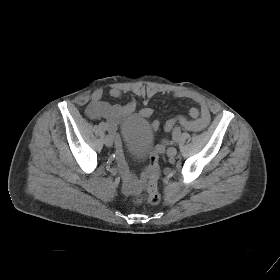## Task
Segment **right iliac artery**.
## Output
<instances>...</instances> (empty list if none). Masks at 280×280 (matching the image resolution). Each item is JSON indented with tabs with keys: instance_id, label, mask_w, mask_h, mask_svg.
<instances>
[{
	"instance_id": "1",
	"label": "right iliac artery",
	"mask_w": 280,
	"mask_h": 280,
	"mask_svg": "<svg viewBox=\"0 0 280 280\" xmlns=\"http://www.w3.org/2000/svg\"><path fill=\"white\" fill-rule=\"evenodd\" d=\"M99 126H100V128L102 129V130H107V124L105 123V122H101L100 124H99Z\"/></svg>"
}]
</instances>
